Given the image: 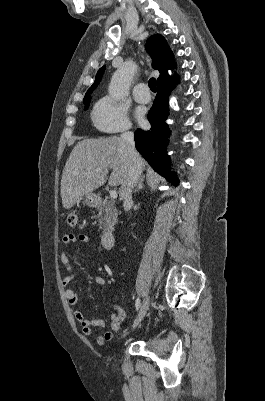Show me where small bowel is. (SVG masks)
Returning <instances> with one entry per match:
<instances>
[{
    "label": "small bowel",
    "mask_w": 265,
    "mask_h": 401,
    "mask_svg": "<svg viewBox=\"0 0 265 401\" xmlns=\"http://www.w3.org/2000/svg\"><path fill=\"white\" fill-rule=\"evenodd\" d=\"M80 241L82 243L91 242V238L86 234H79L78 236L75 234H66L62 238V242L66 245L75 243ZM101 251V247L99 246L98 252ZM61 262L67 270L68 274L62 278V283L64 286H68L74 279L75 274L70 263V258L66 252H63L60 256ZM95 283L105 286L107 285V281L102 276H96L94 278ZM65 297L71 306H75L78 302V294L72 288H67L65 290ZM74 317L76 321L81 326L82 332L85 336H91L94 328H104L105 321L103 319H94L86 317L80 310L74 311ZM125 319V312L120 307L115 308V312H113L110 316L111 320V330L107 331L97 337V343L99 345H104L106 342L111 341L115 335H117L120 331L121 324Z\"/></svg>",
    "instance_id": "small-bowel-1"
}]
</instances>
